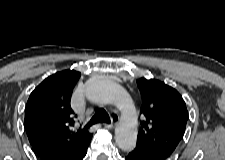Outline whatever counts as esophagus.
Here are the masks:
<instances>
[{"instance_id":"obj_1","label":"esophagus","mask_w":225,"mask_h":160,"mask_svg":"<svg viewBox=\"0 0 225 160\" xmlns=\"http://www.w3.org/2000/svg\"><path fill=\"white\" fill-rule=\"evenodd\" d=\"M118 119H119L118 114H113L112 115L113 122L112 123H105L104 127L109 128V129L114 128V126L116 125Z\"/></svg>"}]
</instances>
